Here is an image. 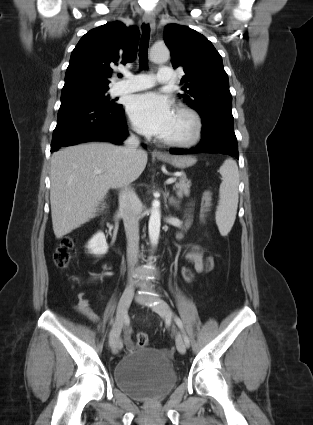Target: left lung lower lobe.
Returning <instances> with one entry per match:
<instances>
[{
    "label": "left lung lower lobe",
    "mask_w": 313,
    "mask_h": 425,
    "mask_svg": "<svg viewBox=\"0 0 313 425\" xmlns=\"http://www.w3.org/2000/svg\"><path fill=\"white\" fill-rule=\"evenodd\" d=\"M202 140L191 149H170L171 154L218 152L239 158L234 133V119L230 113H210L202 117Z\"/></svg>",
    "instance_id": "left-lung-lower-lobe-1"
}]
</instances>
